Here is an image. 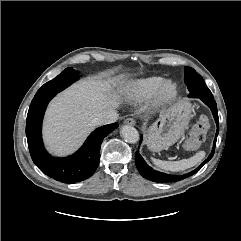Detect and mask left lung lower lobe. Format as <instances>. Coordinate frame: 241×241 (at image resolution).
<instances>
[{
    "mask_svg": "<svg viewBox=\"0 0 241 241\" xmlns=\"http://www.w3.org/2000/svg\"><path fill=\"white\" fill-rule=\"evenodd\" d=\"M188 88L192 89V86L189 85ZM189 97L200 98L212 111V114H213L214 119L217 124V131H216V136L214 139V145H213L212 152L210 153L209 157L198 168H196L195 170H193L185 175L178 176V175H169V174H165V173H161V172H157V171L153 170L151 167H149L146 164V162L144 161L142 156L137 151L135 153V163H136L138 171L144 178L151 180V181L159 182V183L177 182V181L183 180L185 178H188V177L192 176L193 174H195L196 172H198L202 168V166L213 157L214 151H215L216 139H217V135L219 133V118H218V113H217L216 102L212 95L211 96L196 95V94H192L191 91H190ZM140 142H142V136H141Z\"/></svg>",
    "mask_w": 241,
    "mask_h": 241,
    "instance_id": "obj_1",
    "label": "left lung lower lobe"
}]
</instances>
